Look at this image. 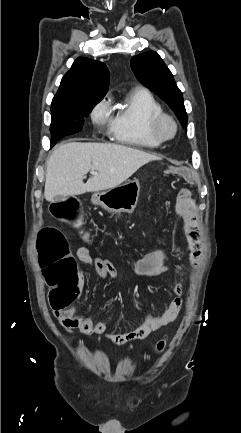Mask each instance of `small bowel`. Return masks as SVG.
Masks as SVG:
<instances>
[{"label": "small bowel", "instance_id": "c3829d8e", "mask_svg": "<svg viewBox=\"0 0 241 433\" xmlns=\"http://www.w3.org/2000/svg\"><path fill=\"white\" fill-rule=\"evenodd\" d=\"M176 210L185 224L190 264L192 267H196L202 257V241L199 232L197 208L189 190L181 189L179 191L176 201ZM77 258L82 262L92 264L97 274L102 279L115 280L117 278L115 266L104 258L97 257L92 259L86 247H82L78 250ZM167 260L168 257L165 251L158 250L140 260L138 262V268L143 272L158 275L167 269ZM79 277L82 285L80 271ZM174 293V298L168 303L165 311L161 315L147 316L139 327L125 334H107L106 331L109 325L106 321L95 322L91 317L79 315L73 308H69L67 312H54V315L68 333L76 329L85 336H104L108 340L122 345L149 338L152 334L173 322L178 316L182 306V287L177 285L174 288Z\"/></svg>", "mask_w": 241, "mask_h": 433}]
</instances>
